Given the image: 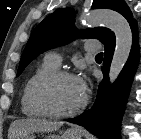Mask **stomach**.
Returning <instances> with one entry per match:
<instances>
[{
	"label": "stomach",
	"instance_id": "stomach-1",
	"mask_svg": "<svg viewBox=\"0 0 141 139\" xmlns=\"http://www.w3.org/2000/svg\"><path fill=\"white\" fill-rule=\"evenodd\" d=\"M22 139H36V136L33 134H28ZM45 139H82V134L76 130L69 129L62 135L50 134Z\"/></svg>",
	"mask_w": 141,
	"mask_h": 139
}]
</instances>
